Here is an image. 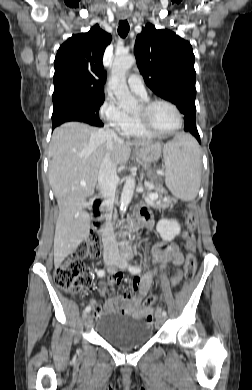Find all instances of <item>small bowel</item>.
Here are the masks:
<instances>
[{"label":"small bowel","mask_w":252,"mask_h":390,"mask_svg":"<svg viewBox=\"0 0 252 390\" xmlns=\"http://www.w3.org/2000/svg\"><path fill=\"white\" fill-rule=\"evenodd\" d=\"M142 216L145 225L153 228V220L151 213L147 208L143 207ZM152 259L159 265L158 269L152 270L143 276L136 278L133 282V288L137 292H129L123 296L113 297L105 300L100 306L94 299H90V305L94 308L95 319H101L104 315L119 314L126 315L135 320H141L153 313L152 304L147 306L141 305L143 298L150 290L152 278L158 270L165 269L168 265L180 266L183 263V256L176 245L164 246L161 243L156 244L151 251ZM115 273V272H114ZM182 279L181 272L176 271L172 278L171 284L176 286ZM122 275L115 273L107 282L101 281L98 284V292L101 296H105L107 289H114L115 285L120 283Z\"/></svg>","instance_id":"small-bowel-1"}]
</instances>
